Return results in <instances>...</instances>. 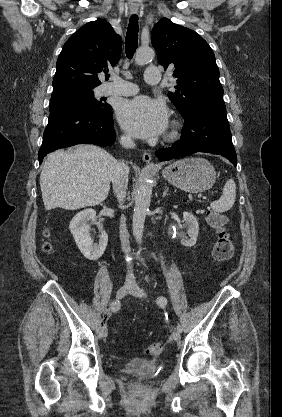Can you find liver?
<instances>
[{"instance_id":"obj_1","label":"liver","mask_w":282,"mask_h":417,"mask_svg":"<svg viewBox=\"0 0 282 417\" xmlns=\"http://www.w3.org/2000/svg\"><path fill=\"white\" fill-rule=\"evenodd\" d=\"M116 158L94 144H78L73 152H50L40 174L46 211H75L96 206L105 200L112 180Z\"/></svg>"}]
</instances>
